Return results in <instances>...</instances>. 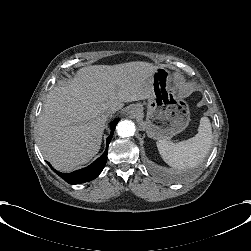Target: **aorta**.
Returning a JSON list of instances; mask_svg holds the SVG:
<instances>
[{"instance_id":"obj_1","label":"aorta","mask_w":251,"mask_h":251,"mask_svg":"<svg viewBox=\"0 0 251 251\" xmlns=\"http://www.w3.org/2000/svg\"><path fill=\"white\" fill-rule=\"evenodd\" d=\"M117 133L121 137H129L134 134L135 125L130 120H123L118 123L116 126Z\"/></svg>"}]
</instances>
